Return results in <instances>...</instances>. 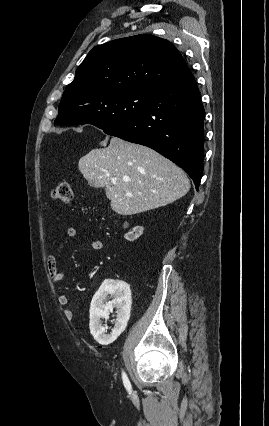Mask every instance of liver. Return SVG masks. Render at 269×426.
<instances>
[{"label": "liver", "instance_id": "liver-1", "mask_svg": "<svg viewBox=\"0 0 269 426\" xmlns=\"http://www.w3.org/2000/svg\"><path fill=\"white\" fill-rule=\"evenodd\" d=\"M78 167L90 186L105 188L112 210L121 215L166 206L190 189L180 167L146 146L118 137H112L108 147L80 158Z\"/></svg>", "mask_w": 269, "mask_h": 426}]
</instances>
